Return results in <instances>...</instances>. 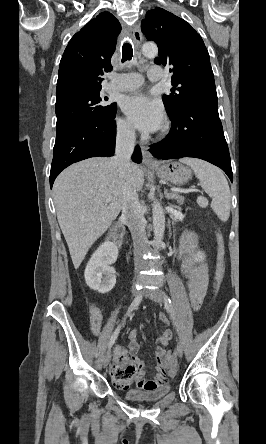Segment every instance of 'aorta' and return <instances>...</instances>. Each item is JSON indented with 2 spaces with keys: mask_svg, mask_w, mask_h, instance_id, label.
I'll use <instances>...</instances> for the list:
<instances>
[{
  "mask_svg": "<svg viewBox=\"0 0 266 444\" xmlns=\"http://www.w3.org/2000/svg\"><path fill=\"white\" fill-rule=\"evenodd\" d=\"M142 53L145 57L153 58L158 54L157 45L154 43H145L142 46ZM153 214V231L154 246L158 249L163 244V236L165 231V215L163 208L157 200H154L152 207Z\"/></svg>",
  "mask_w": 266,
  "mask_h": 444,
  "instance_id": "1",
  "label": "aorta"
}]
</instances>
